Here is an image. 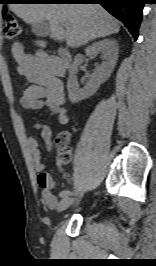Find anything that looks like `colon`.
I'll list each match as a JSON object with an SVG mask.
<instances>
[{"label": "colon", "instance_id": "obj_1", "mask_svg": "<svg viewBox=\"0 0 156 266\" xmlns=\"http://www.w3.org/2000/svg\"><path fill=\"white\" fill-rule=\"evenodd\" d=\"M20 26L16 18L5 12L3 14V33L7 39H15L20 35ZM69 134L67 132L60 133L55 139V145L58 148L57 162L60 165L66 164L70 160V152L67 148L69 142Z\"/></svg>", "mask_w": 156, "mask_h": 266}]
</instances>
